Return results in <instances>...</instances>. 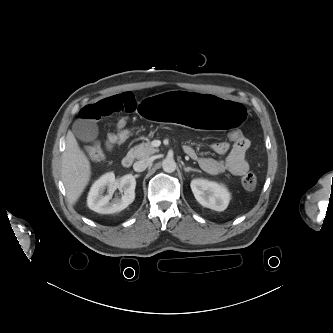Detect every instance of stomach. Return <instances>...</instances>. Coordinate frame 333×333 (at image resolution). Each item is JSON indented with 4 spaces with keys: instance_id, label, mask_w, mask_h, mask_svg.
Returning a JSON list of instances; mask_svg holds the SVG:
<instances>
[{
    "instance_id": "1",
    "label": "stomach",
    "mask_w": 333,
    "mask_h": 333,
    "mask_svg": "<svg viewBox=\"0 0 333 333\" xmlns=\"http://www.w3.org/2000/svg\"><path fill=\"white\" fill-rule=\"evenodd\" d=\"M139 113L149 121L211 133L238 129L248 118L243 104L198 91L190 94L171 91L154 93L140 104Z\"/></svg>"
}]
</instances>
